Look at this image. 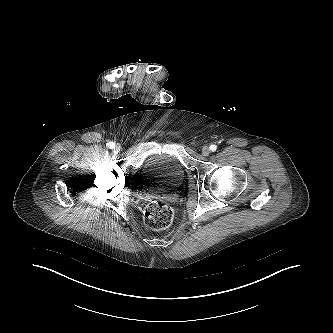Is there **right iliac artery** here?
Wrapping results in <instances>:
<instances>
[{
    "mask_svg": "<svg viewBox=\"0 0 333 333\" xmlns=\"http://www.w3.org/2000/svg\"><path fill=\"white\" fill-rule=\"evenodd\" d=\"M107 146H108L110 149H112V148L115 147V143H113V142H109V143L107 144Z\"/></svg>",
    "mask_w": 333,
    "mask_h": 333,
    "instance_id": "obj_1",
    "label": "right iliac artery"
}]
</instances>
